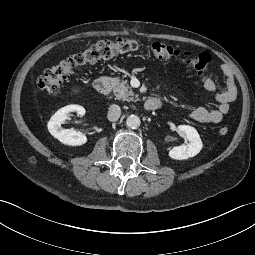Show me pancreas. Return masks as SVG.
Listing matches in <instances>:
<instances>
[{"label":"pancreas","mask_w":255,"mask_h":255,"mask_svg":"<svg viewBox=\"0 0 255 255\" xmlns=\"http://www.w3.org/2000/svg\"><path fill=\"white\" fill-rule=\"evenodd\" d=\"M113 92L117 99L123 101H133L138 98V95L135 94L131 87L128 84V80H122L120 82L119 78H113Z\"/></svg>","instance_id":"1"}]
</instances>
